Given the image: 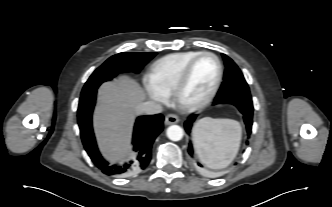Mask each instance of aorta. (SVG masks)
<instances>
[{"label": "aorta", "mask_w": 332, "mask_h": 207, "mask_svg": "<svg viewBox=\"0 0 332 207\" xmlns=\"http://www.w3.org/2000/svg\"><path fill=\"white\" fill-rule=\"evenodd\" d=\"M167 137L172 141H179L183 138L184 131L178 125H171L167 128Z\"/></svg>", "instance_id": "obj_1"}]
</instances>
